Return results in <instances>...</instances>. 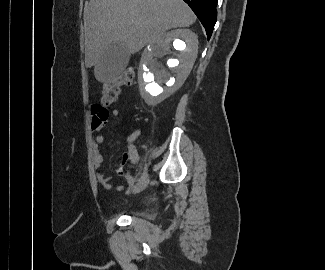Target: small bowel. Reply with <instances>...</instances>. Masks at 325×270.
I'll return each instance as SVG.
<instances>
[{"mask_svg": "<svg viewBox=\"0 0 325 270\" xmlns=\"http://www.w3.org/2000/svg\"><path fill=\"white\" fill-rule=\"evenodd\" d=\"M109 109H110L109 103H95L92 107L93 120L91 123V129L95 133L93 136L92 152H93L94 167L96 169V178L97 181L105 189H111L112 183L110 178L106 177L101 172V165L104 161V157L101 151L99 150V145L103 144L104 137L98 132L103 128L106 122L110 120L111 115L114 118L119 117L118 110H113L112 112H110ZM137 136H138V130H135L128 137V152L122 157V160L116 169L117 174L125 176L126 182L129 187H132L135 184V177L125 172V165L128 162H132V163L136 162L137 154L133 142L137 138ZM123 188H124L123 185H117L116 187L118 191H122Z\"/></svg>", "mask_w": 325, "mask_h": 270, "instance_id": "c3829d8e", "label": "small bowel"}]
</instances>
